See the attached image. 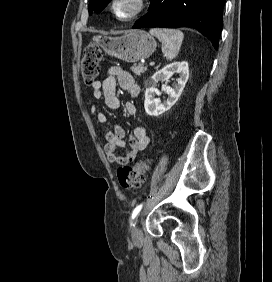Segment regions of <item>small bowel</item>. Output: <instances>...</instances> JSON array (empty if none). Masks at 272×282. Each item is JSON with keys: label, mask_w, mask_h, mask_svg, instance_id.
I'll use <instances>...</instances> for the list:
<instances>
[{"label": "small bowel", "mask_w": 272, "mask_h": 282, "mask_svg": "<svg viewBox=\"0 0 272 282\" xmlns=\"http://www.w3.org/2000/svg\"><path fill=\"white\" fill-rule=\"evenodd\" d=\"M117 86L125 91L132 99L138 97L140 93L139 86L127 70L119 66H112L108 69L106 76L102 80H98L93 84V97L97 100L104 99L109 109L116 110L120 107V101L116 94ZM125 111L128 115H134L136 112L134 103L131 101L127 102L125 104ZM91 112L96 116L99 123L104 124L107 122L106 115L99 112L95 106L91 108ZM125 135L124 128L119 124H116L113 130L104 133L107 141L104 151L108 161L112 164L126 165L131 163L150 142L146 129L138 126L134 129L129 139V146L126 153L124 155H118L116 149L125 146Z\"/></svg>", "instance_id": "c3829d8e"}]
</instances>
